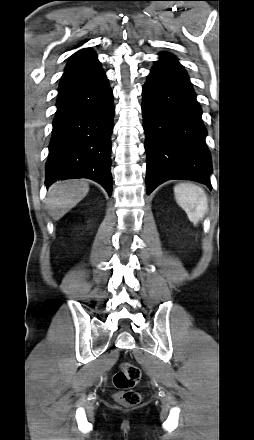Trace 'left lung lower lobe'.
<instances>
[{"mask_svg":"<svg viewBox=\"0 0 254 440\" xmlns=\"http://www.w3.org/2000/svg\"><path fill=\"white\" fill-rule=\"evenodd\" d=\"M142 112L149 195L170 179L195 180L211 188L212 164L202 110L182 65L160 54L143 87Z\"/></svg>","mask_w":254,"mask_h":440,"instance_id":"1","label":"left lung lower lobe"}]
</instances>
